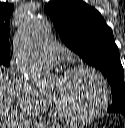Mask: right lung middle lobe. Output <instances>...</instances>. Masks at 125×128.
<instances>
[{
	"instance_id": "obj_1",
	"label": "right lung middle lobe",
	"mask_w": 125,
	"mask_h": 128,
	"mask_svg": "<svg viewBox=\"0 0 125 128\" xmlns=\"http://www.w3.org/2000/svg\"><path fill=\"white\" fill-rule=\"evenodd\" d=\"M10 65V59L0 58V66L8 67Z\"/></svg>"
}]
</instances>
